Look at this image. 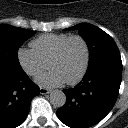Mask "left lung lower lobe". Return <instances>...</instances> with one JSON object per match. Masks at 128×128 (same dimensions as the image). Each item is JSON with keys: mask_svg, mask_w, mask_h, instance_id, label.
Returning a JSON list of instances; mask_svg holds the SVG:
<instances>
[{"mask_svg": "<svg viewBox=\"0 0 128 128\" xmlns=\"http://www.w3.org/2000/svg\"><path fill=\"white\" fill-rule=\"evenodd\" d=\"M122 79L118 55L105 56L88 66L83 81L64 90L65 105L58 118L71 128H88L101 121L113 108Z\"/></svg>", "mask_w": 128, "mask_h": 128, "instance_id": "obj_1", "label": "left lung lower lobe"}]
</instances>
